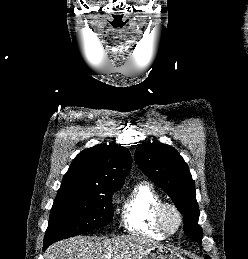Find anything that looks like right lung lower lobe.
<instances>
[{
  "instance_id": "1",
  "label": "right lung lower lobe",
  "mask_w": 248,
  "mask_h": 259,
  "mask_svg": "<svg viewBox=\"0 0 248 259\" xmlns=\"http://www.w3.org/2000/svg\"><path fill=\"white\" fill-rule=\"evenodd\" d=\"M50 244H51V242H49V241H44L43 250H45Z\"/></svg>"
}]
</instances>
